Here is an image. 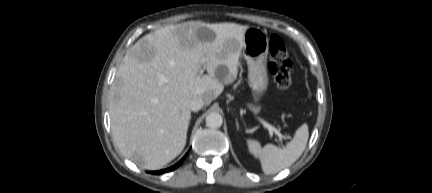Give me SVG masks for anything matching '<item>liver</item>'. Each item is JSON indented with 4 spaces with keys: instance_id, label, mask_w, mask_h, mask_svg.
<instances>
[{
    "instance_id": "6515ba94",
    "label": "liver",
    "mask_w": 432,
    "mask_h": 193,
    "mask_svg": "<svg viewBox=\"0 0 432 193\" xmlns=\"http://www.w3.org/2000/svg\"><path fill=\"white\" fill-rule=\"evenodd\" d=\"M248 28L188 21L147 34L127 51L109 93L112 136L126 158L157 170L183 151L192 98L208 106L236 80ZM205 30L211 39L201 37ZM219 67L226 69L221 79Z\"/></svg>"
}]
</instances>
